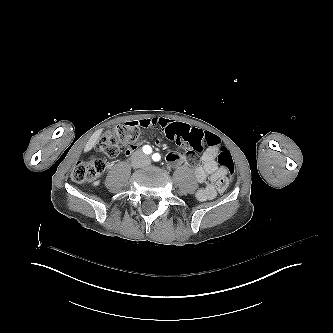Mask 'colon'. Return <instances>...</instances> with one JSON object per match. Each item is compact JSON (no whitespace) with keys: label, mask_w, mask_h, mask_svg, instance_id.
Segmentation results:
<instances>
[{"label":"colon","mask_w":333,"mask_h":333,"mask_svg":"<svg viewBox=\"0 0 333 333\" xmlns=\"http://www.w3.org/2000/svg\"><path fill=\"white\" fill-rule=\"evenodd\" d=\"M165 141L170 143L184 144L190 149L200 151L210 149L218 144V139L204 127H194L185 122L167 123L161 131ZM138 130L126 123L120 124L112 131L106 133L96 144V148L106 154L110 159L120 155L122 146H135L138 143ZM218 162L229 174L235 171V162L231 152L226 147H220ZM106 168V163L101 158L88 162L76 163L72 170V179L75 182H85L100 175ZM230 185V179L223 178L219 182V188L224 191Z\"/></svg>","instance_id":"5ec220e1"}]
</instances>
